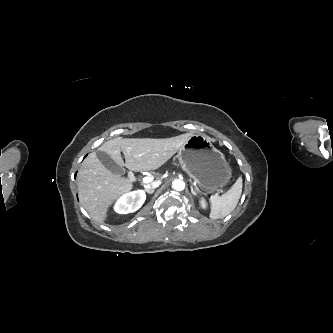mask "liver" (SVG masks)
<instances>
[{"label":"liver","mask_w":333,"mask_h":333,"mask_svg":"<svg viewBox=\"0 0 333 333\" xmlns=\"http://www.w3.org/2000/svg\"><path fill=\"white\" fill-rule=\"evenodd\" d=\"M192 135L186 133L165 139L118 137L105 142L98 151L107 153L116 164L131 171L156 170L180 150ZM132 188V182L113 174L100 162L96 152L89 154L78 171L80 202L91 218L99 223L106 220L109 207Z\"/></svg>","instance_id":"liver-1"}]
</instances>
